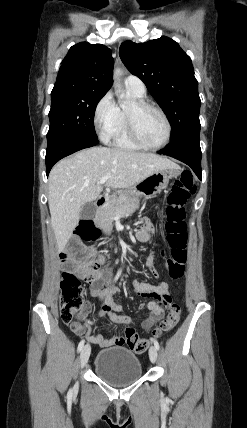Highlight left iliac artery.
<instances>
[{
    "label": "left iliac artery",
    "instance_id": "obj_1",
    "mask_svg": "<svg viewBox=\"0 0 247 428\" xmlns=\"http://www.w3.org/2000/svg\"><path fill=\"white\" fill-rule=\"evenodd\" d=\"M154 346L156 347L157 350H159L160 346L157 340H154Z\"/></svg>",
    "mask_w": 247,
    "mask_h": 428
}]
</instances>
